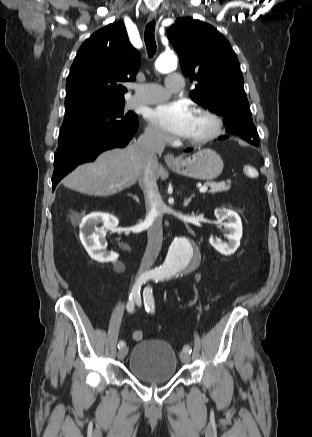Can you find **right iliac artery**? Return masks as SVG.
<instances>
[{"instance_id":"82829eb1","label":"right iliac artery","mask_w":312,"mask_h":437,"mask_svg":"<svg viewBox=\"0 0 312 437\" xmlns=\"http://www.w3.org/2000/svg\"><path fill=\"white\" fill-rule=\"evenodd\" d=\"M153 278H154V275H152L150 273H144L137 279L136 283L134 284V286L132 288V291H131L130 296H129V301L127 303V311L128 312L134 311V303H136L139 306L141 305V295H140L141 286ZM123 346H125V342L120 341L118 343V348H122Z\"/></svg>"}]
</instances>
